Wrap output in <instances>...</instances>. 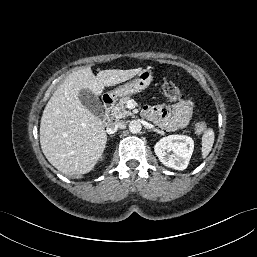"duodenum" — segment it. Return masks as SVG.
<instances>
[{"instance_id":"obj_1","label":"duodenum","mask_w":257,"mask_h":257,"mask_svg":"<svg viewBox=\"0 0 257 257\" xmlns=\"http://www.w3.org/2000/svg\"><path fill=\"white\" fill-rule=\"evenodd\" d=\"M114 104V99L113 97L109 96V95H105L103 97V107H104V114L102 117V122L104 124L109 123L110 119H111V108Z\"/></svg>"}]
</instances>
